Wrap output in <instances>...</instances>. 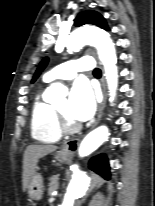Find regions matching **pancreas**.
I'll return each mask as SVG.
<instances>
[{
	"mask_svg": "<svg viewBox=\"0 0 155 206\" xmlns=\"http://www.w3.org/2000/svg\"><path fill=\"white\" fill-rule=\"evenodd\" d=\"M58 179L59 178L57 175H54L50 178L48 193H52L53 191L58 189V186H59Z\"/></svg>",
	"mask_w": 155,
	"mask_h": 206,
	"instance_id": "cf45deb5",
	"label": "pancreas"
}]
</instances>
